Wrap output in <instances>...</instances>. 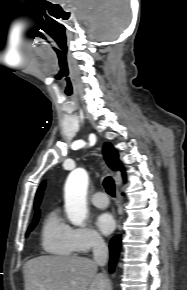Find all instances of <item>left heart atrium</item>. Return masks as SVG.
Wrapping results in <instances>:
<instances>
[{
	"mask_svg": "<svg viewBox=\"0 0 187 290\" xmlns=\"http://www.w3.org/2000/svg\"><path fill=\"white\" fill-rule=\"evenodd\" d=\"M95 224L103 234H109L115 228V220L110 213H100L96 219Z\"/></svg>",
	"mask_w": 187,
	"mask_h": 290,
	"instance_id": "39dd6f15",
	"label": "left heart atrium"
}]
</instances>
